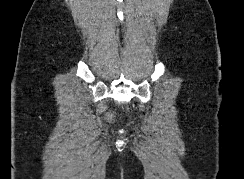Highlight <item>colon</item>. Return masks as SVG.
<instances>
[{
    "label": "colon",
    "instance_id": "5ec220e1",
    "mask_svg": "<svg viewBox=\"0 0 244 179\" xmlns=\"http://www.w3.org/2000/svg\"><path fill=\"white\" fill-rule=\"evenodd\" d=\"M130 111H131V112H134V111H135V108H134V107H131V108H130Z\"/></svg>",
    "mask_w": 244,
    "mask_h": 179
}]
</instances>
